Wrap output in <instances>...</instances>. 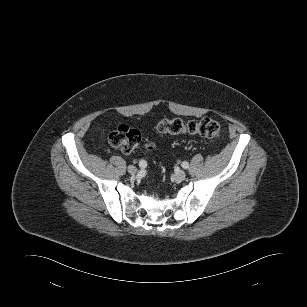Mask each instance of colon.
<instances>
[{"instance_id":"obj_1","label":"colon","mask_w":307,"mask_h":307,"mask_svg":"<svg viewBox=\"0 0 307 307\" xmlns=\"http://www.w3.org/2000/svg\"><path fill=\"white\" fill-rule=\"evenodd\" d=\"M156 129L162 134H189L210 139L218 138L221 134L219 123L211 118H202L188 122H184L179 118L162 119L156 124ZM108 142L113 148L128 154L141 146L142 135L137 129L120 125L109 134ZM153 146L154 144L152 142L143 144V148L146 150L152 149Z\"/></svg>"}]
</instances>
